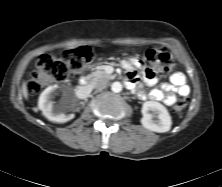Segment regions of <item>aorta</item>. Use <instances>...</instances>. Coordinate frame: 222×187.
Here are the masks:
<instances>
[{
  "instance_id": "obj_1",
  "label": "aorta",
  "mask_w": 222,
  "mask_h": 187,
  "mask_svg": "<svg viewBox=\"0 0 222 187\" xmlns=\"http://www.w3.org/2000/svg\"><path fill=\"white\" fill-rule=\"evenodd\" d=\"M111 90L115 93H119L122 90V84L120 82H114L111 85Z\"/></svg>"
}]
</instances>
